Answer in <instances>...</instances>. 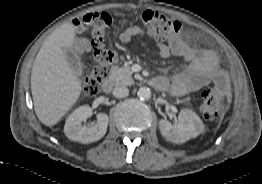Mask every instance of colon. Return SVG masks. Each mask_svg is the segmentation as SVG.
I'll list each match as a JSON object with an SVG mask.
<instances>
[{"instance_id":"1","label":"colon","mask_w":262,"mask_h":184,"mask_svg":"<svg viewBox=\"0 0 262 184\" xmlns=\"http://www.w3.org/2000/svg\"><path fill=\"white\" fill-rule=\"evenodd\" d=\"M141 21L147 33L157 41L174 38L182 29V24L178 20L154 11L143 12ZM79 23L91 28L94 64L84 79L83 92L88 96H94L99 93L102 82L108 76L110 66L117 61V54L107 46L105 40L112 19L104 12H90L83 15L77 21V24ZM227 88V75L220 72L216 77L215 86L202 91L199 109L205 119L212 121L220 116L221 96Z\"/></svg>"}]
</instances>
